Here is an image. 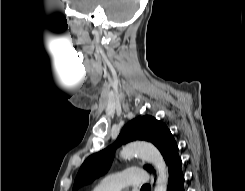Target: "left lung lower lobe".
Instances as JSON below:
<instances>
[{"mask_svg": "<svg viewBox=\"0 0 245 191\" xmlns=\"http://www.w3.org/2000/svg\"><path fill=\"white\" fill-rule=\"evenodd\" d=\"M168 167V186L167 191H185L184 174L182 172V160L178 154V148L175 149L167 161Z\"/></svg>", "mask_w": 245, "mask_h": 191, "instance_id": "left-lung-lower-lobe-1", "label": "left lung lower lobe"}]
</instances>
